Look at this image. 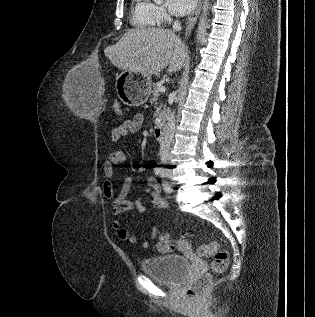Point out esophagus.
Returning <instances> with one entry per match:
<instances>
[{"mask_svg":"<svg viewBox=\"0 0 315 317\" xmlns=\"http://www.w3.org/2000/svg\"><path fill=\"white\" fill-rule=\"evenodd\" d=\"M201 6H202V0H198L197 6L194 9V11L189 15L187 21H186V36L189 35L194 28V25L200 15L201 11Z\"/></svg>","mask_w":315,"mask_h":317,"instance_id":"esophagus-1","label":"esophagus"}]
</instances>
